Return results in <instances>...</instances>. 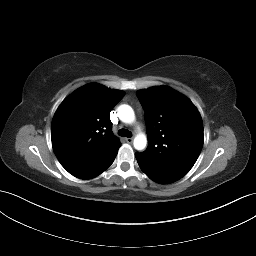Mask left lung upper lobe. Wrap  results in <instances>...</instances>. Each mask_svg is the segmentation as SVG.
Here are the masks:
<instances>
[{
  "label": "left lung upper lobe",
  "mask_w": 256,
  "mask_h": 256,
  "mask_svg": "<svg viewBox=\"0 0 256 256\" xmlns=\"http://www.w3.org/2000/svg\"><path fill=\"white\" fill-rule=\"evenodd\" d=\"M145 110L147 149L140 158L152 171L182 178L203 146V123L197 108L166 86L136 92Z\"/></svg>",
  "instance_id": "5c2ea615"
}]
</instances>
